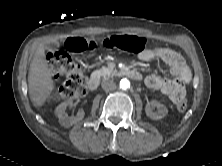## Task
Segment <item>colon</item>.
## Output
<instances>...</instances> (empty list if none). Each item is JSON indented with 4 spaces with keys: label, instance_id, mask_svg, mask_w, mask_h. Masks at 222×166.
<instances>
[{
    "label": "colon",
    "instance_id": "colon-1",
    "mask_svg": "<svg viewBox=\"0 0 222 166\" xmlns=\"http://www.w3.org/2000/svg\"><path fill=\"white\" fill-rule=\"evenodd\" d=\"M108 49H118L125 52L138 53L144 49L145 40L132 35H112L105 38L99 44L87 42L81 38H70L65 42V49L50 53L48 63L50 72L57 77H63L64 81L58 91L60 99H74L83 96L86 92V79L81 64L76 62L72 53L83 52L97 46ZM187 101L183 98L177 103L179 111H185Z\"/></svg>",
    "mask_w": 222,
    "mask_h": 166
}]
</instances>
